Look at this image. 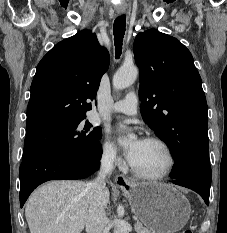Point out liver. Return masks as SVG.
I'll list each match as a JSON object with an SVG mask.
<instances>
[{
    "mask_svg": "<svg viewBox=\"0 0 227 233\" xmlns=\"http://www.w3.org/2000/svg\"><path fill=\"white\" fill-rule=\"evenodd\" d=\"M83 181H51L37 188L25 205L30 233H81L89 215V200ZM105 187L102 206L109 203ZM76 217L72 220L71 217Z\"/></svg>",
    "mask_w": 227,
    "mask_h": 233,
    "instance_id": "liver-1",
    "label": "liver"
}]
</instances>
